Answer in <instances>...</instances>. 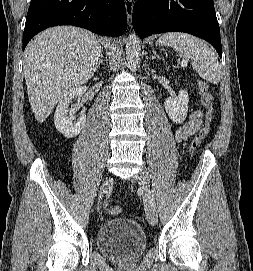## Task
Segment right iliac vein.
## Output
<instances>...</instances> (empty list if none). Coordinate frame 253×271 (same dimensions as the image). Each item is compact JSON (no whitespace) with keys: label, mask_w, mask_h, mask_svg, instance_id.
<instances>
[{"label":"right iliac vein","mask_w":253,"mask_h":271,"mask_svg":"<svg viewBox=\"0 0 253 271\" xmlns=\"http://www.w3.org/2000/svg\"><path fill=\"white\" fill-rule=\"evenodd\" d=\"M112 185V178L111 177H107L100 189V193H99V199L103 198V194L105 193V191Z\"/></svg>","instance_id":"right-iliac-vein-1"}]
</instances>
